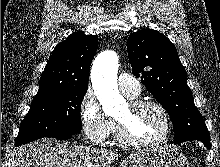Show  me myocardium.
<instances>
[{"instance_id":"obj_1","label":"myocardium","mask_w":220,"mask_h":167,"mask_svg":"<svg viewBox=\"0 0 220 167\" xmlns=\"http://www.w3.org/2000/svg\"><path fill=\"white\" fill-rule=\"evenodd\" d=\"M145 106H152L159 110V112L162 114L165 123L163 133L159 137L152 140L134 139L130 135L125 124L116 119V138L121 144L129 147H155L164 143L169 138L172 131V120L169 112L160 102L152 99H134L129 102V107L132 110H138Z\"/></svg>"}]
</instances>
